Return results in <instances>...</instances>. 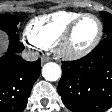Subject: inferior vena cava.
Here are the masks:
<instances>
[{"mask_svg":"<svg viewBox=\"0 0 112 112\" xmlns=\"http://www.w3.org/2000/svg\"><path fill=\"white\" fill-rule=\"evenodd\" d=\"M40 57V54L34 50H24L22 52V58L26 61H36Z\"/></svg>","mask_w":112,"mask_h":112,"instance_id":"inferior-vena-cava-1","label":"inferior vena cava"}]
</instances>
